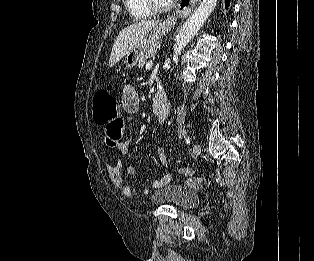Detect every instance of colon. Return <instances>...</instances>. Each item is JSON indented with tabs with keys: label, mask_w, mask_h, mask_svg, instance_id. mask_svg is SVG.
<instances>
[{
	"label": "colon",
	"mask_w": 314,
	"mask_h": 261,
	"mask_svg": "<svg viewBox=\"0 0 314 261\" xmlns=\"http://www.w3.org/2000/svg\"><path fill=\"white\" fill-rule=\"evenodd\" d=\"M94 120L99 125H104L105 120H113L119 116L118 101L106 90H98L93 97ZM179 173L190 176L191 171L187 168H180Z\"/></svg>",
	"instance_id": "5ec220e1"
}]
</instances>
